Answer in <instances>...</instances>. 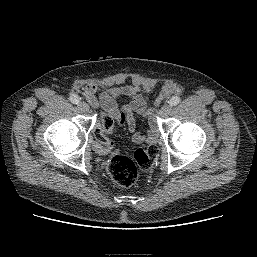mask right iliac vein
<instances>
[{
  "instance_id": "right-iliac-vein-1",
  "label": "right iliac vein",
  "mask_w": 257,
  "mask_h": 257,
  "mask_svg": "<svg viewBox=\"0 0 257 257\" xmlns=\"http://www.w3.org/2000/svg\"><path fill=\"white\" fill-rule=\"evenodd\" d=\"M78 108L82 112H88L89 111V105L84 101H81V102L78 103Z\"/></svg>"
}]
</instances>
